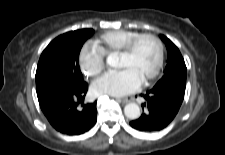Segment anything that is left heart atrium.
Here are the masks:
<instances>
[{
    "instance_id": "left-heart-atrium-1",
    "label": "left heart atrium",
    "mask_w": 225,
    "mask_h": 155,
    "mask_svg": "<svg viewBox=\"0 0 225 155\" xmlns=\"http://www.w3.org/2000/svg\"><path fill=\"white\" fill-rule=\"evenodd\" d=\"M143 83L141 77L132 69L108 72L96 79L91 91L96 96H124L137 91Z\"/></svg>"
}]
</instances>
